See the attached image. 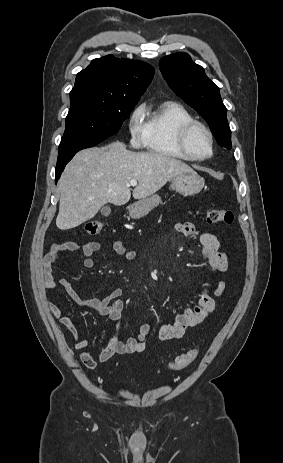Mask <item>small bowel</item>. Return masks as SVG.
Wrapping results in <instances>:
<instances>
[{"label": "small bowel", "instance_id": "1", "mask_svg": "<svg viewBox=\"0 0 283 463\" xmlns=\"http://www.w3.org/2000/svg\"><path fill=\"white\" fill-rule=\"evenodd\" d=\"M178 232L183 235L196 237L201 246L202 256L208 265L218 276L215 284H207L201 292L197 305L187 308L176 316L174 323L162 324L157 330V337L161 341L179 339L184 336L189 327L201 324L214 310L216 298L222 294L226 287L224 274L228 270V259L226 254L220 249V243L215 235L201 231L191 222L179 223L176 226ZM114 252L124 256L129 261L136 259V254L129 251L122 240H115L112 244ZM101 249L98 242L90 241L85 244H78L74 241L66 240L55 242L51 245L49 252L45 255L42 265L43 287L45 290H56L63 288L68 296L82 307H86L98 312L102 316L108 317L115 325L116 332L108 340L107 344L95 354L88 350L89 341L79 339L74 328L73 320L69 315L62 314L57 305L47 301L49 312L67 328L75 337L76 349L81 351L80 359L85 367L94 369L97 362L109 360L115 354H133L146 349L145 339L151 331V324H143L137 337L121 338L119 330L121 327L124 303L119 299L123 294L121 288H115L110 295L102 299H83L72 287L66 278L55 280L52 274V265L64 257L66 252H80L83 256V266L86 269L95 267L96 262L92 255Z\"/></svg>", "mask_w": 283, "mask_h": 463}]
</instances>
